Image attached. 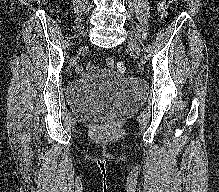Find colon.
Here are the masks:
<instances>
[{"label": "colon", "instance_id": "obj_1", "mask_svg": "<svg viewBox=\"0 0 219 192\" xmlns=\"http://www.w3.org/2000/svg\"><path fill=\"white\" fill-rule=\"evenodd\" d=\"M48 0H35L36 3H39V4H44L46 3ZM176 0H162L160 2V6H159V9H160V12L162 14H166L168 9L173 5V3L175 2ZM108 64L111 65V66H114L115 68V71L118 73V74H124L126 72V69H127V65L125 62L123 61H119V62H116L114 63L112 60H109L108 61Z\"/></svg>", "mask_w": 219, "mask_h": 192}]
</instances>
